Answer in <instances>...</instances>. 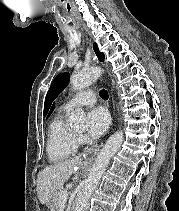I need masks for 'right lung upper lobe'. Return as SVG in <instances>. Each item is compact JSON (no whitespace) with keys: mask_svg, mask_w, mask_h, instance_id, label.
<instances>
[{"mask_svg":"<svg viewBox=\"0 0 179 211\" xmlns=\"http://www.w3.org/2000/svg\"><path fill=\"white\" fill-rule=\"evenodd\" d=\"M53 108H54V105L52 106L51 111H50V113H49V114H51V112H52Z\"/></svg>","mask_w":179,"mask_h":211,"instance_id":"right-lung-upper-lobe-1","label":"right lung upper lobe"}]
</instances>
